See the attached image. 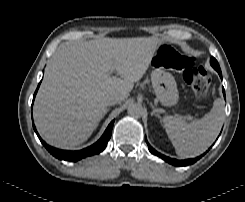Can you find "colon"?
<instances>
[{
  "mask_svg": "<svg viewBox=\"0 0 245 202\" xmlns=\"http://www.w3.org/2000/svg\"><path fill=\"white\" fill-rule=\"evenodd\" d=\"M164 59L177 71H180L183 78L190 86L194 96L202 99L208 93L211 86L209 75L201 69L194 57L182 56L179 50L171 45L164 44L161 48Z\"/></svg>",
  "mask_w": 245,
  "mask_h": 202,
  "instance_id": "obj_1",
  "label": "colon"
}]
</instances>
